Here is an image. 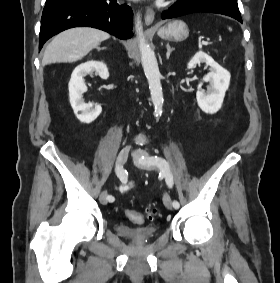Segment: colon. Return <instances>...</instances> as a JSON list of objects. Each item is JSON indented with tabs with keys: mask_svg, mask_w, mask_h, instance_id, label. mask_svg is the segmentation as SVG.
Listing matches in <instances>:
<instances>
[{
	"mask_svg": "<svg viewBox=\"0 0 280 283\" xmlns=\"http://www.w3.org/2000/svg\"><path fill=\"white\" fill-rule=\"evenodd\" d=\"M126 215L129 218V220H131L132 222L140 224L143 223L146 219L151 220L155 215V212H147V214L144 215L134 210H127Z\"/></svg>",
	"mask_w": 280,
	"mask_h": 283,
	"instance_id": "5ec220e1",
	"label": "colon"
}]
</instances>
